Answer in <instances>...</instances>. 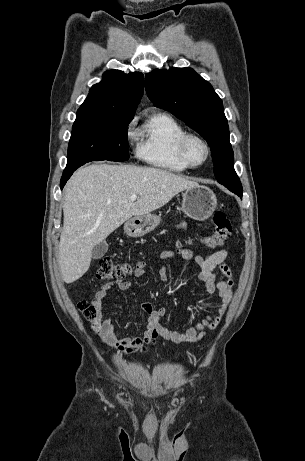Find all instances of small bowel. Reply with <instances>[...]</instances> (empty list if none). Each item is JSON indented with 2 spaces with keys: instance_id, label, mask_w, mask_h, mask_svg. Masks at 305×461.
Returning <instances> with one entry per match:
<instances>
[{
  "instance_id": "1",
  "label": "small bowel",
  "mask_w": 305,
  "mask_h": 461,
  "mask_svg": "<svg viewBox=\"0 0 305 461\" xmlns=\"http://www.w3.org/2000/svg\"><path fill=\"white\" fill-rule=\"evenodd\" d=\"M227 256L228 252L224 249L216 251L206 258L184 247L168 248L160 252L159 258L161 260L181 257L184 260L194 262L199 269L198 278L202 282L204 290L208 294L216 293L221 299V305L217 309L216 316L206 315L185 332L168 329L160 323V319L168 313L166 307H154L149 302H144L142 308L147 316V328L143 334L135 337H117L113 322L110 319L102 318L101 309L113 286V283H104L94 294L92 301L98 310L97 333L102 342L108 348L113 347L119 352L132 354L147 352L151 346L156 344L159 337L175 344L193 343L202 339L206 335V330H213L220 324L232 299L234 279L230 267L225 262ZM145 267V262H138L133 272L134 277L144 276ZM216 268H219L227 277L226 281L216 282L214 272ZM158 275L162 282H167L169 279L167 268L164 265L158 268ZM115 284L122 291L131 288V282L127 280H118ZM213 310L214 308L210 307V311Z\"/></svg>"
}]
</instances>
